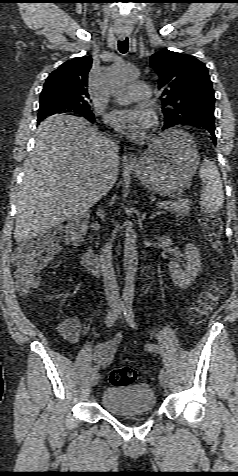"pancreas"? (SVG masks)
Segmentation results:
<instances>
[{
	"label": "pancreas",
	"instance_id": "cf45deb5",
	"mask_svg": "<svg viewBox=\"0 0 238 476\" xmlns=\"http://www.w3.org/2000/svg\"><path fill=\"white\" fill-rule=\"evenodd\" d=\"M192 201L188 198H178V200L171 201L170 204L162 206L165 210L171 212L172 214L179 216H187L190 212ZM95 230L99 229V226L96 224L94 226Z\"/></svg>",
	"mask_w": 238,
	"mask_h": 476
}]
</instances>
